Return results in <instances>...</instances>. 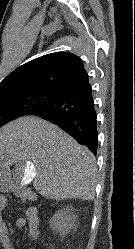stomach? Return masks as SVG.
<instances>
[{
  "mask_svg": "<svg viewBox=\"0 0 135 249\" xmlns=\"http://www.w3.org/2000/svg\"><path fill=\"white\" fill-rule=\"evenodd\" d=\"M0 181H7L5 178H4V175H3V171L1 170L0 168Z\"/></svg>",
  "mask_w": 135,
  "mask_h": 249,
  "instance_id": "0dacf381",
  "label": "stomach"
}]
</instances>
